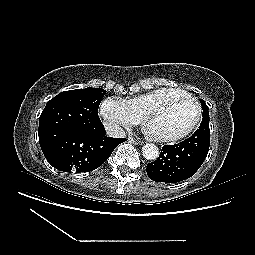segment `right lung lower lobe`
Masks as SVG:
<instances>
[{
  "mask_svg": "<svg viewBox=\"0 0 255 255\" xmlns=\"http://www.w3.org/2000/svg\"><path fill=\"white\" fill-rule=\"evenodd\" d=\"M125 138L106 136L105 129L97 133L75 130L60 139L48 152L47 161L63 172H89L101 166Z\"/></svg>",
  "mask_w": 255,
  "mask_h": 255,
  "instance_id": "obj_1",
  "label": "right lung lower lobe"
}]
</instances>
